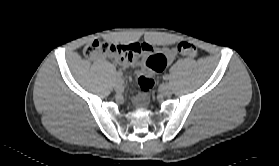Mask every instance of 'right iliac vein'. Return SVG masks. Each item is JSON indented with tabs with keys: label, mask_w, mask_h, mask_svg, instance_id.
<instances>
[{
	"label": "right iliac vein",
	"mask_w": 279,
	"mask_h": 166,
	"mask_svg": "<svg viewBox=\"0 0 279 166\" xmlns=\"http://www.w3.org/2000/svg\"><path fill=\"white\" fill-rule=\"evenodd\" d=\"M114 88L117 92H121L123 90V81L118 79L115 83Z\"/></svg>",
	"instance_id": "obj_1"
}]
</instances>
